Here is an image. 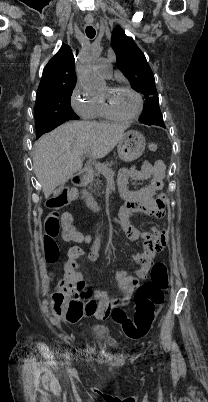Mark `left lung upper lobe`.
<instances>
[{
  "label": "left lung upper lobe",
  "instance_id": "1",
  "mask_svg": "<svg viewBox=\"0 0 208 402\" xmlns=\"http://www.w3.org/2000/svg\"><path fill=\"white\" fill-rule=\"evenodd\" d=\"M112 48L115 51L119 69L128 78L131 86L142 92L147 99L145 112L140 117V121L146 125L165 127L159 108L154 75L145 55L134 40L125 35L120 26H117L113 32Z\"/></svg>",
  "mask_w": 208,
  "mask_h": 402
}]
</instances>
